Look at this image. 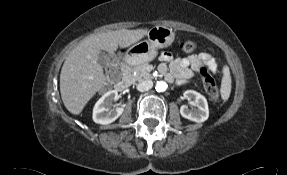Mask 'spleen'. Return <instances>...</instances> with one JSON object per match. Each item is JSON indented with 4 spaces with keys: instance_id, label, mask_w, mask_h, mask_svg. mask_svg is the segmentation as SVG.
I'll return each mask as SVG.
<instances>
[{
    "instance_id": "obj_1",
    "label": "spleen",
    "mask_w": 287,
    "mask_h": 175,
    "mask_svg": "<svg viewBox=\"0 0 287 175\" xmlns=\"http://www.w3.org/2000/svg\"><path fill=\"white\" fill-rule=\"evenodd\" d=\"M221 98L227 101L231 93V76L229 67L226 65L223 67V77L220 88Z\"/></svg>"
}]
</instances>
